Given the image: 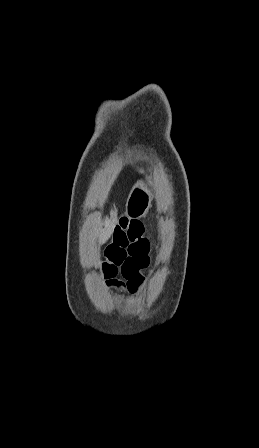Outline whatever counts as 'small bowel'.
<instances>
[{"label":"small bowel","instance_id":"1","mask_svg":"<svg viewBox=\"0 0 259 448\" xmlns=\"http://www.w3.org/2000/svg\"><path fill=\"white\" fill-rule=\"evenodd\" d=\"M149 241L138 220H121L112 230L101 269L109 285L135 292L144 282L142 271L149 265ZM122 279H117L118 275Z\"/></svg>","mask_w":259,"mask_h":448}]
</instances>
